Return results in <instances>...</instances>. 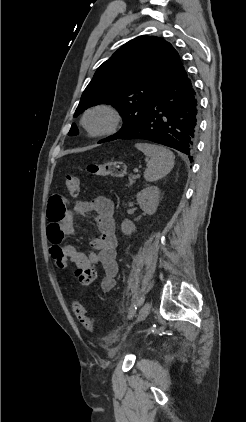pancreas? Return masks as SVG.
Masks as SVG:
<instances>
[{
  "mask_svg": "<svg viewBox=\"0 0 246 422\" xmlns=\"http://www.w3.org/2000/svg\"><path fill=\"white\" fill-rule=\"evenodd\" d=\"M133 176H134V175H131V176L129 177V186H131L133 183H135V179H136V178H134Z\"/></svg>",
  "mask_w": 246,
  "mask_h": 422,
  "instance_id": "pancreas-1",
  "label": "pancreas"
}]
</instances>
